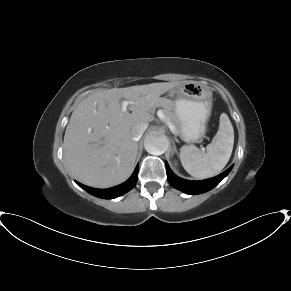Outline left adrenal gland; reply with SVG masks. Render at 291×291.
Returning a JSON list of instances; mask_svg holds the SVG:
<instances>
[{"mask_svg":"<svg viewBox=\"0 0 291 291\" xmlns=\"http://www.w3.org/2000/svg\"><path fill=\"white\" fill-rule=\"evenodd\" d=\"M173 145H174V151L177 153V149H176V146H175V144L173 143Z\"/></svg>","mask_w":291,"mask_h":291,"instance_id":"1","label":"left adrenal gland"}]
</instances>
